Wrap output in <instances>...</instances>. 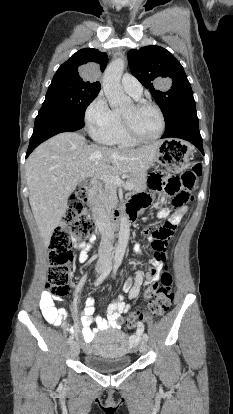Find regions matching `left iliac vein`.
Returning <instances> with one entry per match:
<instances>
[{
  "mask_svg": "<svg viewBox=\"0 0 233 414\" xmlns=\"http://www.w3.org/2000/svg\"><path fill=\"white\" fill-rule=\"evenodd\" d=\"M147 349H148L147 342H146V340L142 339V341L140 342V345H139V351L141 353H145L147 351Z\"/></svg>",
  "mask_w": 233,
  "mask_h": 414,
  "instance_id": "left-iliac-vein-1",
  "label": "left iliac vein"
}]
</instances>
